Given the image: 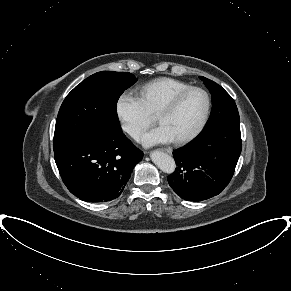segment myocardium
<instances>
[{"label":"myocardium","mask_w":291,"mask_h":291,"mask_svg":"<svg viewBox=\"0 0 291 291\" xmlns=\"http://www.w3.org/2000/svg\"><path fill=\"white\" fill-rule=\"evenodd\" d=\"M194 91L200 92L204 95L205 100H206L205 109H204L202 118H201L200 122L198 123L197 127L189 135H187L183 138L177 139V140H173V142L177 145H183V144H186V143L194 140L205 128V126L208 122L210 112H211V107H212V100H211V96H210L209 92L202 87L190 86V87L176 93L173 97H171L156 114V121L158 123H160V120L163 116L171 113L187 94L194 92Z\"/></svg>","instance_id":"obj_1"}]
</instances>
